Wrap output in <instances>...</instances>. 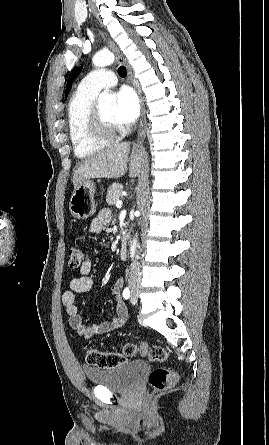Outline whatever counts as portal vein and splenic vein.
<instances>
[{"label":"portal vein and splenic vein","instance_id":"1","mask_svg":"<svg viewBox=\"0 0 269 445\" xmlns=\"http://www.w3.org/2000/svg\"><path fill=\"white\" fill-rule=\"evenodd\" d=\"M122 201L121 200H118L117 202H116V207L117 208H121L122 207Z\"/></svg>","mask_w":269,"mask_h":445}]
</instances>
